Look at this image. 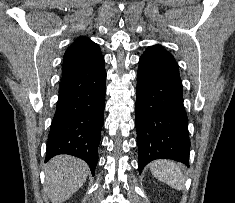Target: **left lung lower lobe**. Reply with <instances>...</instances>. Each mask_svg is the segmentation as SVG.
Instances as JSON below:
<instances>
[{"label":"left lung lower lobe","instance_id":"0a47b994","mask_svg":"<svg viewBox=\"0 0 235 203\" xmlns=\"http://www.w3.org/2000/svg\"><path fill=\"white\" fill-rule=\"evenodd\" d=\"M139 172L152 160L173 159L189 166L190 140L179 67L160 45L141 56L136 89Z\"/></svg>","mask_w":235,"mask_h":203}]
</instances>
